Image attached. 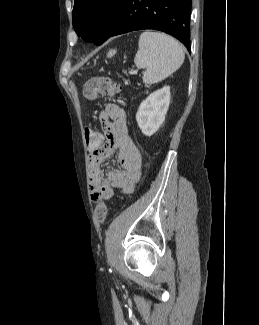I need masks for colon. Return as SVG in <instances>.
Returning <instances> with one entry per match:
<instances>
[{"mask_svg":"<svg viewBox=\"0 0 259 325\" xmlns=\"http://www.w3.org/2000/svg\"><path fill=\"white\" fill-rule=\"evenodd\" d=\"M121 91V86L107 76H96L87 80L83 87L84 96L88 100H96L100 97H114ZM85 144L87 149H100V136L97 130L92 128L85 129ZM98 222L103 223L108 214L107 206L99 202L95 210Z\"/></svg>","mask_w":259,"mask_h":325,"instance_id":"5ec220e1","label":"colon"}]
</instances>
